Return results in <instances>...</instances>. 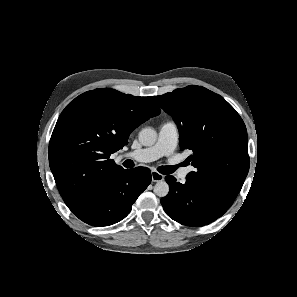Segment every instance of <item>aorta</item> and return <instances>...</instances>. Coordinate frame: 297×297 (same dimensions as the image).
Returning <instances> with one entry per match:
<instances>
[{
  "mask_svg": "<svg viewBox=\"0 0 297 297\" xmlns=\"http://www.w3.org/2000/svg\"><path fill=\"white\" fill-rule=\"evenodd\" d=\"M157 140V133L153 128H143L139 132V141L143 146H152ZM154 193L159 197H165L169 193V185L166 181H158L154 186Z\"/></svg>",
  "mask_w": 297,
  "mask_h": 297,
  "instance_id": "aorta-1",
  "label": "aorta"
}]
</instances>
